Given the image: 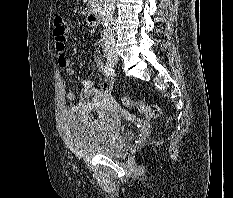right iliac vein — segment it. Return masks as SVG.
<instances>
[{
    "label": "right iliac vein",
    "mask_w": 233,
    "mask_h": 198,
    "mask_svg": "<svg viewBox=\"0 0 233 198\" xmlns=\"http://www.w3.org/2000/svg\"><path fill=\"white\" fill-rule=\"evenodd\" d=\"M107 58L110 61V63H116L117 62V54L115 52H109L107 54Z\"/></svg>",
    "instance_id": "right-iliac-vein-1"
}]
</instances>
